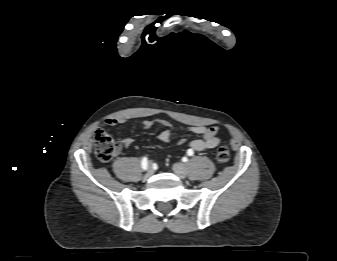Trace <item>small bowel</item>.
<instances>
[{"mask_svg":"<svg viewBox=\"0 0 337 261\" xmlns=\"http://www.w3.org/2000/svg\"><path fill=\"white\" fill-rule=\"evenodd\" d=\"M123 120L121 119H109L105 122L107 126H117L121 124ZM159 124L170 128L171 123L167 120H158ZM143 127L149 129L153 126L154 121L144 120ZM188 131L199 136V138L187 142L189 149L193 151H204L207 149H213L221 143V139L218 137V127L217 126H205V125H193L187 128ZM172 138V131L170 129L165 130L158 136V140L162 143H169ZM133 139L131 138H119V143L125 148H129L133 145ZM186 143L185 139H180L178 144L183 145Z\"/></svg>","mask_w":337,"mask_h":261,"instance_id":"obj_1","label":"small bowel"}]
</instances>
